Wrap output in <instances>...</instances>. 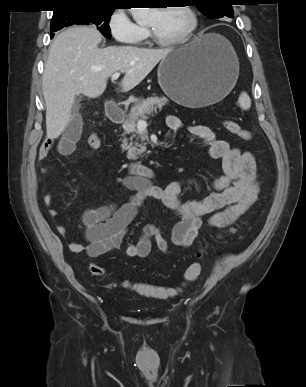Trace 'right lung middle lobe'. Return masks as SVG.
I'll return each instance as SVG.
<instances>
[{"label": "right lung middle lobe", "instance_id": "obj_1", "mask_svg": "<svg viewBox=\"0 0 306 387\" xmlns=\"http://www.w3.org/2000/svg\"><path fill=\"white\" fill-rule=\"evenodd\" d=\"M114 8L109 7H74L53 14L50 31L56 32L63 27L74 24L97 26V29L108 39L111 38L109 20ZM51 33V36L54 34Z\"/></svg>", "mask_w": 306, "mask_h": 387}]
</instances>
